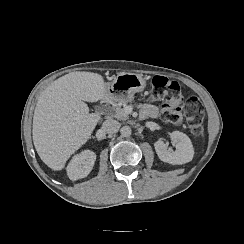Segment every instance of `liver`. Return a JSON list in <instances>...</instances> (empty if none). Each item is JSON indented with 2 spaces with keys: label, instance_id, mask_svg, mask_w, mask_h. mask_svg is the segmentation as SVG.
Wrapping results in <instances>:
<instances>
[{
  "label": "liver",
  "instance_id": "1",
  "mask_svg": "<svg viewBox=\"0 0 244 244\" xmlns=\"http://www.w3.org/2000/svg\"><path fill=\"white\" fill-rule=\"evenodd\" d=\"M101 74L74 71L53 81L38 97L32 122V139L44 164L62 171L72 155L90 139L102 116L89 113L85 102L106 99Z\"/></svg>",
  "mask_w": 244,
  "mask_h": 244
}]
</instances>
